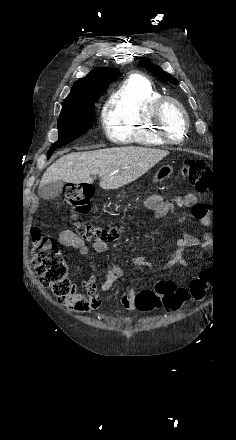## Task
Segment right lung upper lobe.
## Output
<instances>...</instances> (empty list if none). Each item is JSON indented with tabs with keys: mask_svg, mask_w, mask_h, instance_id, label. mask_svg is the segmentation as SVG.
<instances>
[{
	"mask_svg": "<svg viewBox=\"0 0 236 440\" xmlns=\"http://www.w3.org/2000/svg\"><path fill=\"white\" fill-rule=\"evenodd\" d=\"M118 74L119 70L113 68L92 70L86 77L80 78L74 83L70 94L63 103L101 93L111 82L116 80Z\"/></svg>",
	"mask_w": 236,
	"mask_h": 440,
	"instance_id": "right-lung-upper-lobe-1",
	"label": "right lung upper lobe"
}]
</instances>
